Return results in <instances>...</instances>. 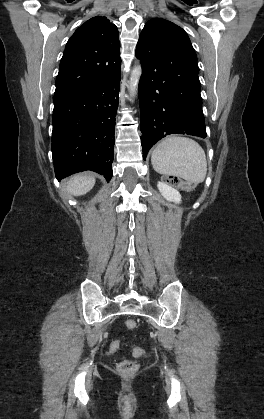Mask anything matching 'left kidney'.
Here are the masks:
<instances>
[{"instance_id":"left-kidney-1","label":"left kidney","mask_w":264,"mask_h":419,"mask_svg":"<svg viewBox=\"0 0 264 419\" xmlns=\"http://www.w3.org/2000/svg\"><path fill=\"white\" fill-rule=\"evenodd\" d=\"M158 190L162 194V196L170 202L180 203L181 202V195L178 190L172 188L168 184L164 182H158L157 184Z\"/></svg>"}]
</instances>
